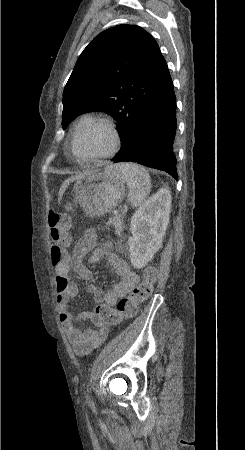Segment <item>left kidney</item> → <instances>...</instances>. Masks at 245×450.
Instances as JSON below:
<instances>
[{
    "instance_id": "5707ae66",
    "label": "left kidney",
    "mask_w": 245,
    "mask_h": 450,
    "mask_svg": "<svg viewBox=\"0 0 245 450\" xmlns=\"http://www.w3.org/2000/svg\"><path fill=\"white\" fill-rule=\"evenodd\" d=\"M171 193L161 188L133 214L128 239L130 261L134 268L145 267L160 249L169 223Z\"/></svg>"
}]
</instances>
